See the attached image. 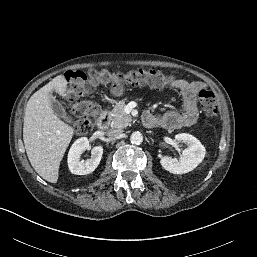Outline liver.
<instances>
[{
  "label": "liver",
  "instance_id": "1",
  "mask_svg": "<svg viewBox=\"0 0 257 257\" xmlns=\"http://www.w3.org/2000/svg\"><path fill=\"white\" fill-rule=\"evenodd\" d=\"M56 92L67 96V81L58 75L29 99L24 116L23 141L34 170L46 181L56 183L60 162L74 129L53 112L50 98Z\"/></svg>",
  "mask_w": 257,
  "mask_h": 257
}]
</instances>
